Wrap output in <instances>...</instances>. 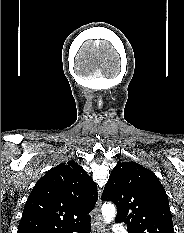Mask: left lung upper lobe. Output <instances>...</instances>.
I'll list each match as a JSON object with an SVG mask.
<instances>
[{
    "instance_id": "5c2ea615",
    "label": "left lung upper lobe",
    "mask_w": 184,
    "mask_h": 233,
    "mask_svg": "<svg viewBox=\"0 0 184 233\" xmlns=\"http://www.w3.org/2000/svg\"><path fill=\"white\" fill-rule=\"evenodd\" d=\"M101 198L116 205V223L124 222L128 233H174L164 187L136 162L117 163Z\"/></svg>"
}]
</instances>
